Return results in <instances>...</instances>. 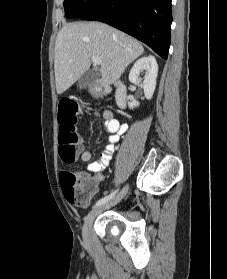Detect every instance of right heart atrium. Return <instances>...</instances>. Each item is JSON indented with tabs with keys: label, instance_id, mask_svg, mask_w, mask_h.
<instances>
[{
	"label": "right heart atrium",
	"instance_id": "d8ad5b80",
	"mask_svg": "<svg viewBox=\"0 0 227 279\" xmlns=\"http://www.w3.org/2000/svg\"><path fill=\"white\" fill-rule=\"evenodd\" d=\"M84 1H86V2H90V1H92V0H84Z\"/></svg>",
	"mask_w": 227,
	"mask_h": 279
}]
</instances>
